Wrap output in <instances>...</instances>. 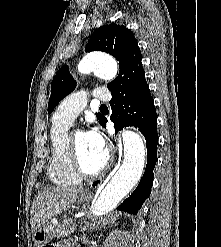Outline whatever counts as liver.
<instances>
[{
  "label": "liver",
  "instance_id": "6515ba94",
  "mask_svg": "<svg viewBox=\"0 0 221 247\" xmlns=\"http://www.w3.org/2000/svg\"><path fill=\"white\" fill-rule=\"evenodd\" d=\"M80 189L68 187H43L31 208V227L34 231L52 217L66 211L76 202Z\"/></svg>",
  "mask_w": 221,
  "mask_h": 247
}]
</instances>
